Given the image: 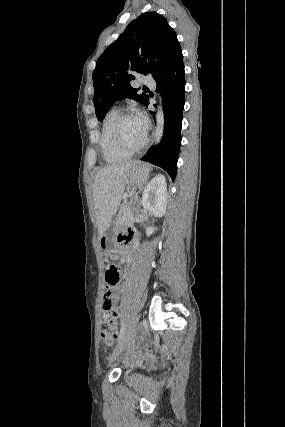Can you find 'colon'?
Returning <instances> with one entry per match:
<instances>
[{"label":"colon","mask_w":285,"mask_h":427,"mask_svg":"<svg viewBox=\"0 0 285 427\" xmlns=\"http://www.w3.org/2000/svg\"><path fill=\"white\" fill-rule=\"evenodd\" d=\"M120 268L115 264H110L105 269L106 294L109 295L120 281ZM104 322L101 328V339L107 344H111L117 337L118 313L112 303L108 302L103 314Z\"/></svg>","instance_id":"1"}]
</instances>
